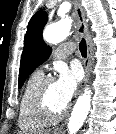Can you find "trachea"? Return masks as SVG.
<instances>
[{
	"label": "trachea",
	"mask_w": 116,
	"mask_h": 134,
	"mask_svg": "<svg viewBox=\"0 0 116 134\" xmlns=\"http://www.w3.org/2000/svg\"><path fill=\"white\" fill-rule=\"evenodd\" d=\"M79 49L83 57L87 56V46H86V41L85 39H82L80 44H79Z\"/></svg>",
	"instance_id": "3493384b"
}]
</instances>
